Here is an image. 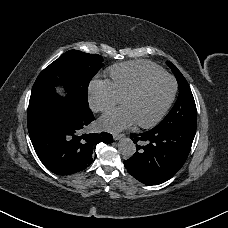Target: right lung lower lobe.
<instances>
[{
  "mask_svg": "<svg viewBox=\"0 0 228 228\" xmlns=\"http://www.w3.org/2000/svg\"><path fill=\"white\" fill-rule=\"evenodd\" d=\"M93 120L92 112L78 114L62 102L29 107V135L44 166L57 175H70L88 167L96 144L113 142L109 133L86 132Z\"/></svg>",
  "mask_w": 228,
  "mask_h": 228,
  "instance_id": "obj_1",
  "label": "right lung lower lobe"
}]
</instances>
